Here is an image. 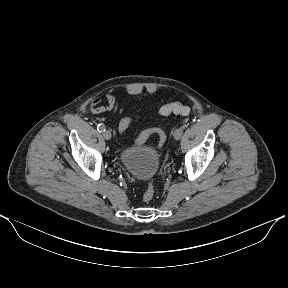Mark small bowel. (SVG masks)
<instances>
[{"label":"small bowel","mask_w":288,"mask_h":288,"mask_svg":"<svg viewBox=\"0 0 288 288\" xmlns=\"http://www.w3.org/2000/svg\"><path fill=\"white\" fill-rule=\"evenodd\" d=\"M100 97H95L92 99L91 103H90V109L93 113L95 114H101V113H105V112H112L113 114H118L119 113V104L117 101V98L115 97V95L111 92H108L106 95V103L104 105H100ZM122 121V119H121ZM120 121V123H121ZM120 123H119V131L123 132L120 129Z\"/></svg>","instance_id":"obj_1"}]
</instances>
